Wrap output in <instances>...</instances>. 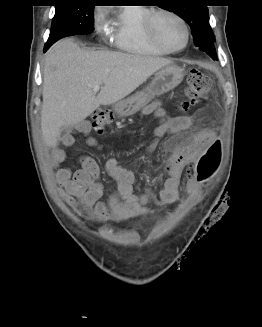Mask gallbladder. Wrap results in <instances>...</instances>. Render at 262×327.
I'll use <instances>...</instances> for the list:
<instances>
[{"mask_svg":"<svg viewBox=\"0 0 262 327\" xmlns=\"http://www.w3.org/2000/svg\"><path fill=\"white\" fill-rule=\"evenodd\" d=\"M69 132H70V129H64V130L62 131V133H63L64 136L68 135Z\"/></svg>","mask_w":262,"mask_h":327,"instance_id":"1","label":"gallbladder"}]
</instances>
